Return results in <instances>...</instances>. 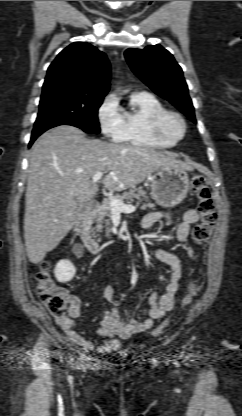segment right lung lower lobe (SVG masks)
Segmentation results:
<instances>
[{
    "mask_svg": "<svg viewBox=\"0 0 242 416\" xmlns=\"http://www.w3.org/2000/svg\"><path fill=\"white\" fill-rule=\"evenodd\" d=\"M42 133H38V134H32L31 136V140L29 142V147H31L32 143L36 140V138L41 135Z\"/></svg>",
    "mask_w": 242,
    "mask_h": 416,
    "instance_id": "98d812e1",
    "label": "right lung lower lobe"
}]
</instances>
